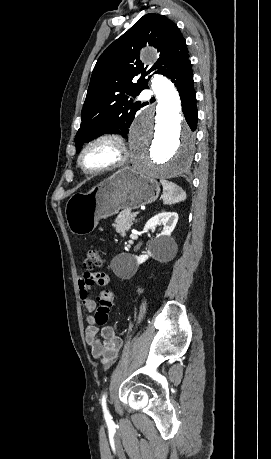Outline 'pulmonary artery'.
Instances as JSON below:
<instances>
[{
  "label": "pulmonary artery",
  "mask_w": 271,
  "mask_h": 459,
  "mask_svg": "<svg viewBox=\"0 0 271 459\" xmlns=\"http://www.w3.org/2000/svg\"><path fill=\"white\" fill-rule=\"evenodd\" d=\"M150 97H151V92L148 89H145L142 92V96L140 97V102L142 104H147L149 102Z\"/></svg>",
  "instance_id": "1"
}]
</instances>
